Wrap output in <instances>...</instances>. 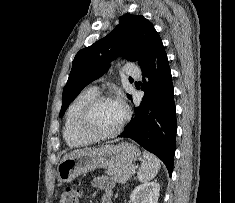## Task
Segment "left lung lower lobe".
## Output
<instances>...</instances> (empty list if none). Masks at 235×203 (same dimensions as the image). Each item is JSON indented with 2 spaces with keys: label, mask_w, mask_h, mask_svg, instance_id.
<instances>
[{
  "label": "left lung lower lobe",
  "mask_w": 235,
  "mask_h": 203,
  "mask_svg": "<svg viewBox=\"0 0 235 203\" xmlns=\"http://www.w3.org/2000/svg\"><path fill=\"white\" fill-rule=\"evenodd\" d=\"M142 90L146 92L135 115L119 137L136 141L166 165L171 176L176 138V112L172 76L161 39L141 66ZM132 100V98L130 97Z\"/></svg>",
  "instance_id": "obj_1"
}]
</instances>
